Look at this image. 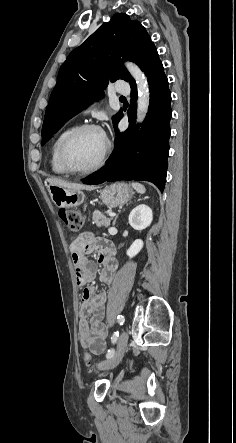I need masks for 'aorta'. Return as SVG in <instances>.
Listing matches in <instances>:
<instances>
[{"label":"aorta","instance_id":"aorta-1","mask_svg":"<svg viewBox=\"0 0 236 443\" xmlns=\"http://www.w3.org/2000/svg\"><path fill=\"white\" fill-rule=\"evenodd\" d=\"M130 74L135 78L138 87L137 100V122L142 123L148 111L150 103V93L147 81L137 65L131 62L126 63Z\"/></svg>","mask_w":236,"mask_h":443}]
</instances>
